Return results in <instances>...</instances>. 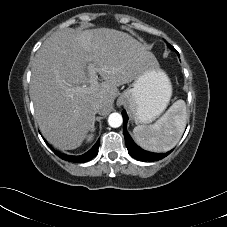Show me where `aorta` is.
I'll return each instance as SVG.
<instances>
[{"instance_id": "1", "label": "aorta", "mask_w": 227, "mask_h": 227, "mask_svg": "<svg viewBox=\"0 0 227 227\" xmlns=\"http://www.w3.org/2000/svg\"><path fill=\"white\" fill-rule=\"evenodd\" d=\"M123 119L121 114L119 113H112L108 117V123L113 128H118L122 125Z\"/></svg>"}]
</instances>
